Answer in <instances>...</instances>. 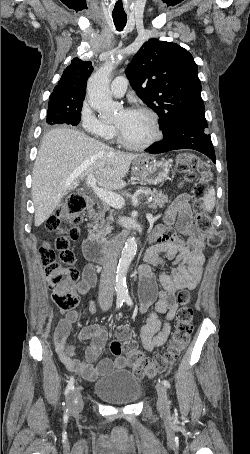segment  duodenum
I'll return each mask as SVG.
<instances>
[{
    "instance_id": "410a0bca",
    "label": "duodenum",
    "mask_w": 250,
    "mask_h": 454,
    "mask_svg": "<svg viewBox=\"0 0 250 454\" xmlns=\"http://www.w3.org/2000/svg\"><path fill=\"white\" fill-rule=\"evenodd\" d=\"M85 203L89 209H92L94 206V201L90 197H86ZM129 237L130 232L123 231L114 240L108 243L88 238L84 242L85 258L92 263L102 264L112 256L114 251L123 246Z\"/></svg>"
}]
</instances>
